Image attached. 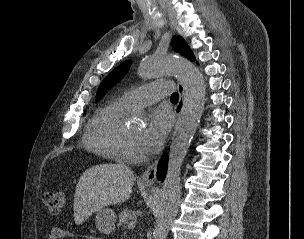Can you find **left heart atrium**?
Returning <instances> with one entry per match:
<instances>
[{"mask_svg":"<svg viewBox=\"0 0 304 239\" xmlns=\"http://www.w3.org/2000/svg\"><path fill=\"white\" fill-rule=\"evenodd\" d=\"M170 127V114L165 109L154 111L146 128L138 137L139 150L141 152H151L157 149L165 139Z\"/></svg>","mask_w":304,"mask_h":239,"instance_id":"left-heart-atrium-1","label":"left heart atrium"}]
</instances>
